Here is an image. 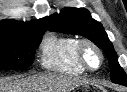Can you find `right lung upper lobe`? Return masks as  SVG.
Masks as SVG:
<instances>
[{
	"label": "right lung upper lobe",
	"mask_w": 127,
	"mask_h": 92,
	"mask_svg": "<svg viewBox=\"0 0 127 92\" xmlns=\"http://www.w3.org/2000/svg\"><path fill=\"white\" fill-rule=\"evenodd\" d=\"M48 18H42L34 22H17L15 20L0 21V35L21 36L37 30L47 29Z\"/></svg>",
	"instance_id": "cb5924a9"
}]
</instances>
